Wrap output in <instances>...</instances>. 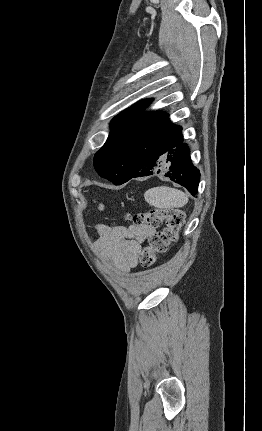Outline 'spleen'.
<instances>
[{
	"mask_svg": "<svg viewBox=\"0 0 262 431\" xmlns=\"http://www.w3.org/2000/svg\"><path fill=\"white\" fill-rule=\"evenodd\" d=\"M146 202L157 208H181L188 203V196L181 190L159 186L147 190Z\"/></svg>",
	"mask_w": 262,
	"mask_h": 431,
	"instance_id": "spleen-1",
	"label": "spleen"
}]
</instances>
